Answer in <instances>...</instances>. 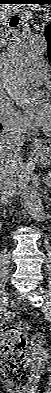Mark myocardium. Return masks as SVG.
Segmentation results:
<instances>
[{
    "label": "myocardium",
    "mask_w": 51,
    "mask_h": 393,
    "mask_svg": "<svg viewBox=\"0 0 51 393\" xmlns=\"http://www.w3.org/2000/svg\"><path fill=\"white\" fill-rule=\"evenodd\" d=\"M43 131H44L45 134H48V135L51 134V130L43 129Z\"/></svg>",
    "instance_id": "obj_1"
}]
</instances>
